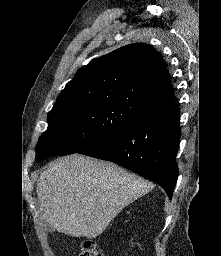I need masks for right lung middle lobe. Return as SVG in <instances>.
Listing matches in <instances>:
<instances>
[{
    "instance_id": "right-lung-middle-lobe-1",
    "label": "right lung middle lobe",
    "mask_w": 221,
    "mask_h": 256,
    "mask_svg": "<svg viewBox=\"0 0 221 256\" xmlns=\"http://www.w3.org/2000/svg\"><path fill=\"white\" fill-rule=\"evenodd\" d=\"M120 106L100 104L48 114V129L36 146V161L77 153L113 131L140 120Z\"/></svg>"
}]
</instances>
